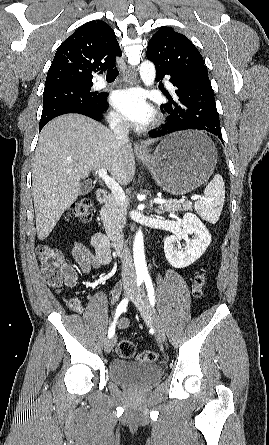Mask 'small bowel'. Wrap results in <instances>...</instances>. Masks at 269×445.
I'll return each instance as SVG.
<instances>
[{
    "instance_id": "1",
    "label": "small bowel",
    "mask_w": 269,
    "mask_h": 445,
    "mask_svg": "<svg viewBox=\"0 0 269 445\" xmlns=\"http://www.w3.org/2000/svg\"><path fill=\"white\" fill-rule=\"evenodd\" d=\"M91 250L88 246L81 242H75L70 248V255L74 261L78 264L84 274L88 275L92 270L98 269L104 265H107L111 261V251L109 247V242L106 236L102 233H96L91 238ZM66 271L69 277L73 281L76 279L75 271L68 265H66ZM122 285L120 283L116 284L113 288L112 303L115 304L121 293ZM67 306L70 310L82 314L84 312V307L82 302L78 298L67 299ZM120 327L124 328L128 325V319L123 318L119 323Z\"/></svg>"
}]
</instances>
